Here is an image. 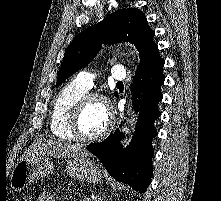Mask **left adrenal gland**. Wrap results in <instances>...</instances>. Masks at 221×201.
<instances>
[{
	"mask_svg": "<svg viewBox=\"0 0 221 201\" xmlns=\"http://www.w3.org/2000/svg\"><path fill=\"white\" fill-rule=\"evenodd\" d=\"M94 201H102L101 200V197H100V195L98 194V195H96V198H95V200Z\"/></svg>",
	"mask_w": 221,
	"mask_h": 201,
	"instance_id": "obj_1",
	"label": "left adrenal gland"
}]
</instances>
